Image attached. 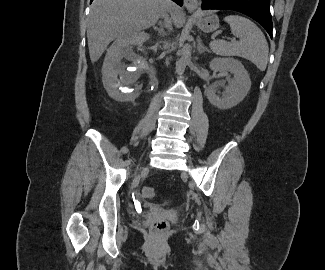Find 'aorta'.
<instances>
[{
	"label": "aorta",
	"mask_w": 325,
	"mask_h": 270,
	"mask_svg": "<svg viewBox=\"0 0 325 270\" xmlns=\"http://www.w3.org/2000/svg\"><path fill=\"white\" fill-rule=\"evenodd\" d=\"M191 58V47L189 44H185L182 48V55L179 61L176 63V72L178 74H183L187 64L190 62Z\"/></svg>",
	"instance_id": "aorta-1"
}]
</instances>
